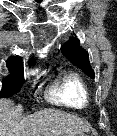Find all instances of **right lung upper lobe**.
Segmentation results:
<instances>
[{
	"label": "right lung upper lobe",
	"instance_id": "cb5924a9",
	"mask_svg": "<svg viewBox=\"0 0 117 136\" xmlns=\"http://www.w3.org/2000/svg\"><path fill=\"white\" fill-rule=\"evenodd\" d=\"M31 61H33V58ZM7 67L9 69H23L22 62L17 57H10L7 61Z\"/></svg>",
	"mask_w": 117,
	"mask_h": 136
}]
</instances>
